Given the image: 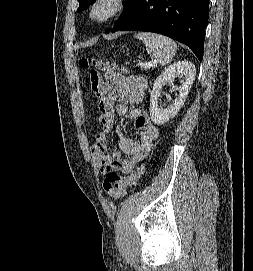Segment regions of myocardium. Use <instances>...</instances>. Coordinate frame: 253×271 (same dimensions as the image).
<instances>
[{"label": "myocardium", "mask_w": 253, "mask_h": 271, "mask_svg": "<svg viewBox=\"0 0 253 271\" xmlns=\"http://www.w3.org/2000/svg\"><path fill=\"white\" fill-rule=\"evenodd\" d=\"M103 2H109L111 8L105 16L98 17L96 15V9ZM126 3L127 0H94L89 8V16L94 22L98 24L107 23L117 17L124 10Z\"/></svg>", "instance_id": "myocardium-1"}]
</instances>
